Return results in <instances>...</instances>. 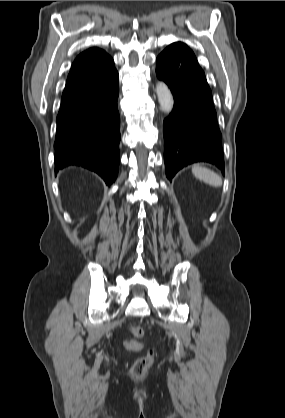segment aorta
<instances>
[{
  "label": "aorta",
  "mask_w": 285,
  "mask_h": 418,
  "mask_svg": "<svg viewBox=\"0 0 285 418\" xmlns=\"http://www.w3.org/2000/svg\"><path fill=\"white\" fill-rule=\"evenodd\" d=\"M156 94L161 109L165 113L169 114L172 111L174 105V100L170 89L164 82L159 81L156 85Z\"/></svg>",
  "instance_id": "obj_1"
}]
</instances>
